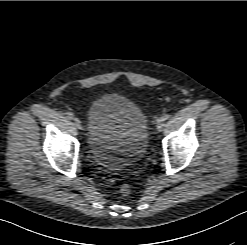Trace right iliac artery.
I'll list each match as a JSON object with an SVG mask.
<instances>
[{
  "label": "right iliac artery",
  "instance_id": "82829eb1",
  "mask_svg": "<svg viewBox=\"0 0 247 245\" xmlns=\"http://www.w3.org/2000/svg\"><path fill=\"white\" fill-rule=\"evenodd\" d=\"M66 115H67V117L69 119H73L74 118V114L72 112H67Z\"/></svg>",
  "mask_w": 247,
  "mask_h": 245
}]
</instances>
